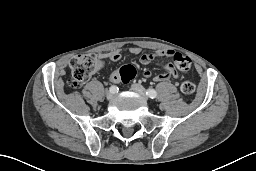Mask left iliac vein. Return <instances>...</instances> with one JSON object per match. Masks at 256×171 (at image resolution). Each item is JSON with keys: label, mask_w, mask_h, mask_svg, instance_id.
Masks as SVG:
<instances>
[{"label": "left iliac vein", "mask_w": 256, "mask_h": 171, "mask_svg": "<svg viewBox=\"0 0 256 171\" xmlns=\"http://www.w3.org/2000/svg\"><path fill=\"white\" fill-rule=\"evenodd\" d=\"M131 89H132L134 92H136V93L142 95L146 100L148 99L147 96H146V90H145V88H144L143 86H141L140 84H137V83L132 84V85H131Z\"/></svg>", "instance_id": "4c4485c4"}]
</instances>
